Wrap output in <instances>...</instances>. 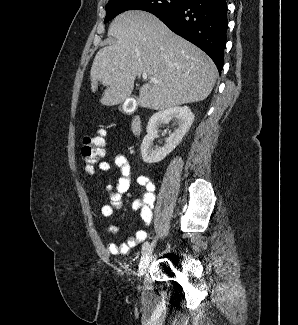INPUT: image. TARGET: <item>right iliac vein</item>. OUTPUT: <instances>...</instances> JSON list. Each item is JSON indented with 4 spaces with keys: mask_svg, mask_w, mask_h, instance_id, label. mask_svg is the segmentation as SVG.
I'll return each mask as SVG.
<instances>
[{
    "mask_svg": "<svg viewBox=\"0 0 298 325\" xmlns=\"http://www.w3.org/2000/svg\"><path fill=\"white\" fill-rule=\"evenodd\" d=\"M156 245V240H154L149 246L148 248L144 251V253L142 254L141 257V261L139 264V276L141 277L142 275H144L146 268L149 265V262L151 260V256L154 250V247Z\"/></svg>",
    "mask_w": 298,
    "mask_h": 325,
    "instance_id": "obj_1",
    "label": "right iliac vein"
}]
</instances>
